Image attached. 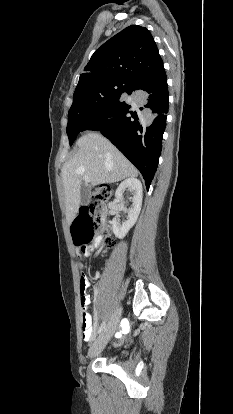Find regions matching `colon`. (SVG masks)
Wrapping results in <instances>:
<instances>
[{"label":"colon","mask_w":233,"mask_h":414,"mask_svg":"<svg viewBox=\"0 0 233 414\" xmlns=\"http://www.w3.org/2000/svg\"><path fill=\"white\" fill-rule=\"evenodd\" d=\"M112 190L109 185H100L93 192L92 203L83 208L72 225L74 244L84 248L92 243L104 229L106 218L105 203L110 199Z\"/></svg>","instance_id":"5ec220e1"}]
</instances>
